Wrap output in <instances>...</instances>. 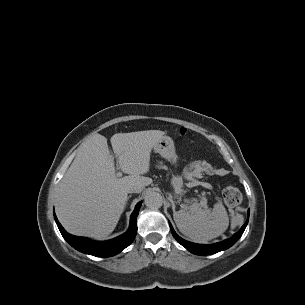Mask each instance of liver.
Listing matches in <instances>:
<instances>
[{
  "label": "liver",
  "mask_w": 305,
  "mask_h": 305,
  "mask_svg": "<svg viewBox=\"0 0 305 305\" xmlns=\"http://www.w3.org/2000/svg\"><path fill=\"white\" fill-rule=\"evenodd\" d=\"M165 133L147 130L116 133L110 141L119 167L129 174L117 178L107 139L94 134L79 148L56 189V214L71 234L105 238L115 229L127 202L128 189L148 186L150 154Z\"/></svg>",
  "instance_id": "liver-1"
}]
</instances>
